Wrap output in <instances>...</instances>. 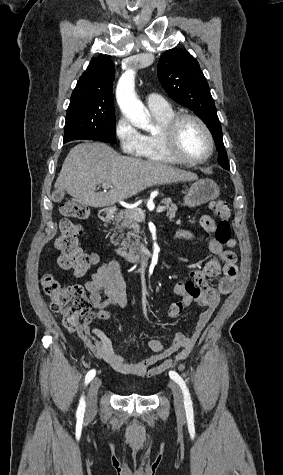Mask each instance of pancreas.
Wrapping results in <instances>:
<instances>
[{"label":"pancreas","mask_w":283,"mask_h":475,"mask_svg":"<svg viewBox=\"0 0 283 475\" xmlns=\"http://www.w3.org/2000/svg\"><path fill=\"white\" fill-rule=\"evenodd\" d=\"M160 204H163L164 210H167L166 216H168L169 222H174L173 218H176V212L178 210L176 204H172L171 198H164ZM139 220H144V216L139 214V208H127V210L120 212V214L116 216L115 230H118V232L128 230L126 234L127 238L123 239L120 243L122 247L116 249L117 253L125 255V253H135V251H137V245H140L139 239H136L139 238ZM176 224L181 226V220H176ZM110 239L111 243L118 245L119 241H113V236H111Z\"/></svg>","instance_id":"1"}]
</instances>
